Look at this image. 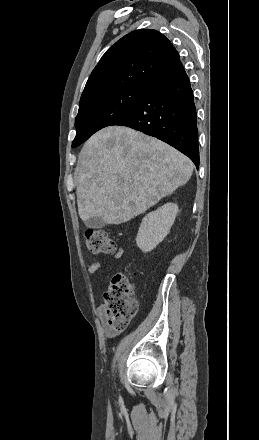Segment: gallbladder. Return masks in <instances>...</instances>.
Returning a JSON list of instances; mask_svg holds the SVG:
<instances>
[{
    "instance_id": "gallbladder-1",
    "label": "gallbladder",
    "mask_w": 259,
    "mask_h": 440,
    "mask_svg": "<svg viewBox=\"0 0 259 440\" xmlns=\"http://www.w3.org/2000/svg\"><path fill=\"white\" fill-rule=\"evenodd\" d=\"M84 224L88 228L100 229L106 226V222L101 217H91L84 221Z\"/></svg>"
}]
</instances>
